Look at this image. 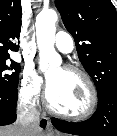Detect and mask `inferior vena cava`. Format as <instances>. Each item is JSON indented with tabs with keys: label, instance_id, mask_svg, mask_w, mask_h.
Here are the masks:
<instances>
[{
	"label": "inferior vena cava",
	"instance_id": "1",
	"mask_svg": "<svg viewBox=\"0 0 117 136\" xmlns=\"http://www.w3.org/2000/svg\"><path fill=\"white\" fill-rule=\"evenodd\" d=\"M39 117L40 113L34 106L23 100L18 103L17 124L21 127L22 136H32L39 129Z\"/></svg>",
	"mask_w": 117,
	"mask_h": 136
}]
</instances>
